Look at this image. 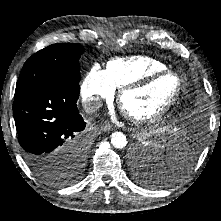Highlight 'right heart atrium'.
Returning a JSON list of instances; mask_svg holds the SVG:
<instances>
[{"label": "right heart atrium", "instance_id": "1", "mask_svg": "<svg viewBox=\"0 0 221 221\" xmlns=\"http://www.w3.org/2000/svg\"><path fill=\"white\" fill-rule=\"evenodd\" d=\"M115 87L98 64L94 65L85 76L81 85V97L88 110L97 109L103 99L113 97Z\"/></svg>", "mask_w": 221, "mask_h": 221}]
</instances>
